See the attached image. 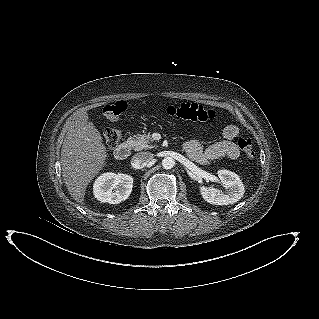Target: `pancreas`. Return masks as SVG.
I'll use <instances>...</instances> for the list:
<instances>
[{"mask_svg": "<svg viewBox=\"0 0 319 319\" xmlns=\"http://www.w3.org/2000/svg\"><path fill=\"white\" fill-rule=\"evenodd\" d=\"M152 141L153 140L149 134H137L129 138L130 145L135 151L152 148V146L148 145Z\"/></svg>", "mask_w": 319, "mask_h": 319, "instance_id": "pancreas-1", "label": "pancreas"}]
</instances>
